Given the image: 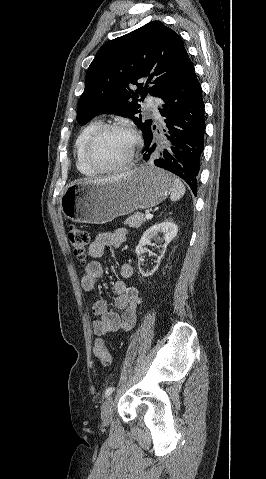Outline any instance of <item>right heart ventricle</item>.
Returning a JSON list of instances; mask_svg holds the SVG:
<instances>
[{"instance_id":"right-heart-ventricle-1","label":"right heart ventricle","mask_w":266,"mask_h":479,"mask_svg":"<svg viewBox=\"0 0 266 479\" xmlns=\"http://www.w3.org/2000/svg\"><path fill=\"white\" fill-rule=\"evenodd\" d=\"M102 125L100 120H92L79 132L75 141V161L77 170L84 176H94L93 172L86 164L84 159V149L90 135Z\"/></svg>"}]
</instances>
